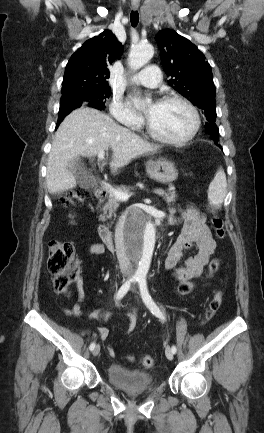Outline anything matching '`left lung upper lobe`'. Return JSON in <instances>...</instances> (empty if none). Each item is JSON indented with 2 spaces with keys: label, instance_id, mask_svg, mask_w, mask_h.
I'll use <instances>...</instances> for the list:
<instances>
[{
  "label": "left lung upper lobe",
  "instance_id": "1",
  "mask_svg": "<svg viewBox=\"0 0 264 433\" xmlns=\"http://www.w3.org/2000/svg\"><path fill=\"white\" fill-rule=\"evenodd\" d=\"M162 65L168 81L177 92L198 106L206 117L208 134L218 140L215 86L212 70L203 53L188 39L174 30L165 29L156 35Z\"/></svg>",
  "mask_w": 264,
  "mask_h": 433
}]
</instances>
